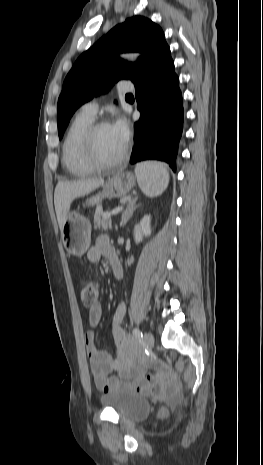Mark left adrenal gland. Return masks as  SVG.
Listing matches in <instances>:
<instances>
[{"mask_svg":"<svg viewBox=\"0 0 263 465\" xmlns=\"http://www.w3.org/2000/svg\"><path fill=\"white\" fill-rule=\"evenodd\" d=\"M138 201V197H135L133 199H131L126 208L124 209V211L122 212V216H121V222H120V225L121 226H125L126 223L128 222V220L131 218V216L133 215L134 211L140 206L139 204H136Z\"/></svg>","mask_w":263,"mask_h":465,"instance_id":"a2214340","label":"left adrenal gland"}]
</instances>
